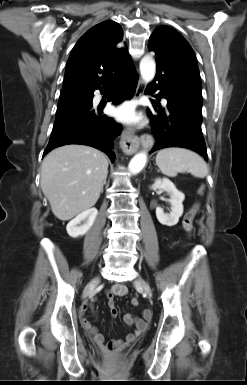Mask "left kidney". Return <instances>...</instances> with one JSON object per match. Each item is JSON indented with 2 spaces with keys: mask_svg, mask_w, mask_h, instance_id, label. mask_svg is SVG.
<instances>
[{
  "mask_svg": "<svg viewBox=\"0 0 247 385\" xmlns=\"http://www.w3.org/2000/svg\"><path fill=\"white\" fill-rule=\"evenodd\" d=\"M151 189H160L167 192L170 195L168 202L171 204V212L169 214L164 213L160 207L156 208V217L162 225L174 226L178 223L179 218L183 214V201L185 195L179 191L175 185L167 178L156 179Z\"/></svg>",
  "mask_w": 247,
  "mask_h": 385,
  "instance_id": "5707ae66",
  "label": "left kidney"
}]
</instances>
